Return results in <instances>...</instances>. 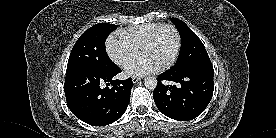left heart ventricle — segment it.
<instances>
[{
  "label": "left heart ventricle",
  "instance_id": "obj_1",
  "mask_svg": "<svg viewBox=\"0 0 276 138\" xmlns=\"http://www.w3.org/2000/svg\"><path fill=\"white\" fill-rule=\"evenodd\" d=\"M175 49V37L171 30H164L156 42L141 50L142 56H150L161 66L172 56Z\"/></svg>",
  "mask_w": 276,
  "mask_h": 138
}]
</instances>
